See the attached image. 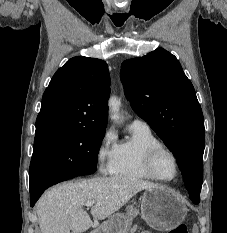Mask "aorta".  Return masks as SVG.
I'll use <instances>...</instances> for the list:
<instances>
[{
    "mask_svg": "<svg viewBox=\"0 0 227 233\" xmlns=\"http://www.w3.org/2000/svg\"><path fill=\"white\" fill-rule=\"evenodd\" d=\"M121 102L120 100L115 97V96H111L109 99V109L112 113L111 115V119L118 121L119 120V108H120Z\"/></svg>",
    "mask_w": 227,
    "mask_h": 233,
    "instance_id": "aorta-1",
    "label": "aorta"
}]
</instances>
